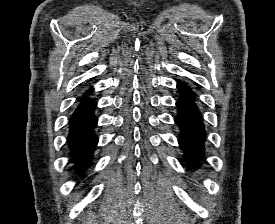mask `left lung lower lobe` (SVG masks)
Listing matches in <instances>:
<instances>
[{
	"label": "left lung lower lobe",
	"instance_id": "obj_1",
	"mask_svg": "<svg viewBox=\"0 0 275 224\" xmlns=\"http://www.w3.org/2000/svg\"><path fill=\"white\" fill-rule=\"evenodd\" d=\"M182 97L177 101L178 115L175 123L181 131L179 145L185 157L193 162H199L205 153L206 131L199 109L195 103V94L187 85L178 83Z\"/></svg>",
	"mask_w": 275,
	"mask_h": 224
}]
</instances>
